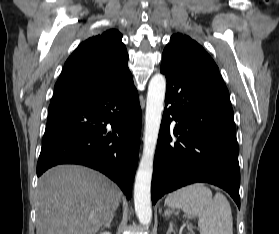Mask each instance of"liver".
I'll use <instances>...</instances> for the list:
<instances>
[{
    "instance_id": "liver-1",
    "label": "liver",
    "mask_w": 279,
    "mask_h": 234,
    "mask_svg": "<svg viewBox=\"0 0 279 234\" xmlns=\"http://www.w3.org/2000/svg\"><path fill=\"white\" fill-rule=\"evenodd\" d=\"M122 192L104 175L77 165L45 172L36 193V234H96L116 211Z\"/></svg>"
}]
</instances>
